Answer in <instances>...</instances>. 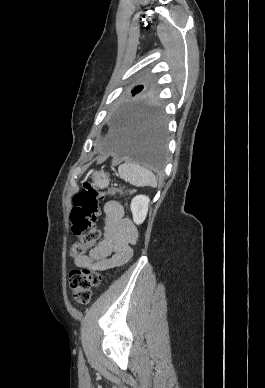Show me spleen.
Returning a JSON list of instances; mask_svg holds the SVG:
<instances>
[{"mask_svg": "<svg viewBox=\"0 0 265 388\" xmlns=\"http://www.w3.org/2000/svg\"><path fill=\"white\" fill-rule=\"evenodd\" d=\"M120 178L127 180L132 186H157L153 172L142 168L139 164H121L118 168Z\"/></svg>", "mask_w": 265, "mask_h": 388, "instance_id": "obj_1", "label": "spleen"}]
</instances>
